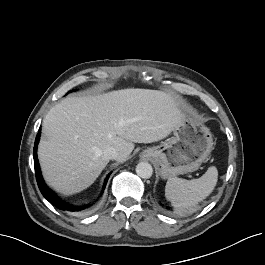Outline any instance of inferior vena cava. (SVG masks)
I'll return each instance as SVG.
<instances>
[{"mask_svg": "<svg viewBox=\"0 0 265 265\" xmlns=\"http://www.w3.org/2000/svg\"><path fill=\"white\" fill-rule=\"evenodd\" d=\"M118 156L119 154L114 147H109L106 150H104V157L108 160H111V159L116 160Z\"/></svg>", "mask_w": 265, "mask_h": 265, "instance_id": "obj_1", "label": "inferior vena cava"}]
</instances>
